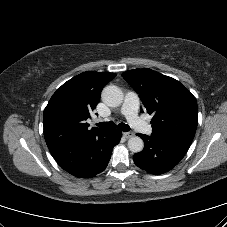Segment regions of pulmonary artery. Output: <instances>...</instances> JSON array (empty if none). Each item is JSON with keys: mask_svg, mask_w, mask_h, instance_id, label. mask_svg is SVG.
I'll use <instances>...</instances> for the list:
<instances>
[{"mask_svg": "<svg viewBox=\"0 0 227 227\" xmlns=\"http://www.w3.org/2000/svg\"><path fill=\"white\" fill-rule=\"evenodd\" d=\"M138 106L139 98L137 94L132 91L127 92L121 107V114L127 118L135 130L150 135L152 133V127L138 116Z\"/></svg>", "mask_w": 227, "mask_h": 227, "instance_id": "pulmonary-artery-1", "label": "pulmonary artery"}]
</instances>
